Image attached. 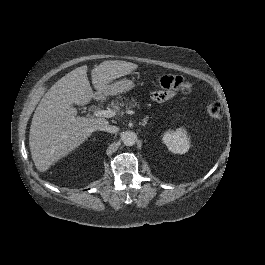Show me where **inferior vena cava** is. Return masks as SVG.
Masks as SVG:
<instances>
[{
    "instance_id": "obj_1",
    "label": "inferior vena cava",
    "mask_w": 265,
    "mask_h": 265,
    "mask_svg": "<svg viewBox=\"0 0 265 265\" xmlns=\"http://www.w3.org/2000/svg\"><path fill=\"white\" fill-rule=\"evenodd\" d=\"M98 129L101 130V131H106V132H109V133H116L119 131V128L114 126V125H109V124H100L98 126Z\"/></svg>"
}]
</instances>
